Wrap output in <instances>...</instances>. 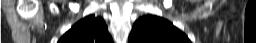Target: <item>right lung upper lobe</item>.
I'll list each match as a JSON object with an SVG mask.
<instances>
[{
  "label": "right lung upper lobe",
  "instance_id": "1",
  "mask_svg": "<svg viewBox=\"0 0 256 43\" xmlns=\"http://www.w3.org/2000/svg\"><path fill=\"white\" fill-rule=\"evenodd\" d=\"M58 43H113V40L103 19L89 15L66 32Z\"/></svg>",
  "mask_w": 256,
  "mask_h": 43
}]
</instances>
